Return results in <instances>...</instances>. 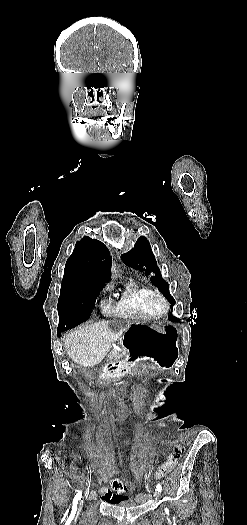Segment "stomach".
<instances>
[{"instance_id":"0dacf381","label":"stomach","mask_w":247,"mask_h":525,"mask_svg":"<svg viewBox=\"0 0 247 525\" xmlns=\"http://www.w3.org/2000/svg\"><path fill=\"white\" fill-rule=\"evenodd\" d=\"M179 337L175 328L159 329L151 325L132 324L124 336L134 358L150 362L160 369H171L178 360Z\"/></svg>"}]
</instances>
